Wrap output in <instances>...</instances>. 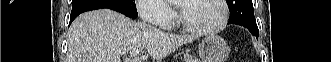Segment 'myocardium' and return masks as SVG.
<instances>
[{"mask_svg":"<svg viewBox=\"0 0 331 62\" xmlns=\"http://www.w3.org/2000/svg\"><path fill=\"white\" fill-rule=\"evenodd\" d=\"M222 8V16L220 21L212 26V27H199V26H193L190 25L185 18L183 17L180 3H175V7L177 10V22L181 28L184 30L191 32V33H197V34H210L220 31L225 27V25L228 22L229 19V9L227 2L225 0H217Z\"/></svg>","mask_w":331,"mask_h":62,"instance_id":"1","label":"myocardium"}]
</instances>
